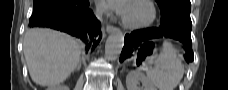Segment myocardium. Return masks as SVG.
I'll use <instances>...</instances> for the list:
<instances>
[{
  "label": "myocardium",
  "mask_w": 228,
  "mask_h": 90,
  "mask_svg": "<svg viewBox=\"0 0 228 90\" xmlns=\"http://www.w3.org/2000/svg\"><path fill=\"white\" fill-rule=\"evenodd\" d=\"M134 2H142V3H145L146 5H148V7L150 9V17L146 21L141 22V23H131L128 20H126L124 16H122V18H121L122 24L125 27L130 28V29H143V28L151 26L155 22L156 17H157V10H156L154 3L150 0H129V1H127V4L134 3Z\"/></svg>",
  "instance_id": "obj_1"
}]
</instances>
